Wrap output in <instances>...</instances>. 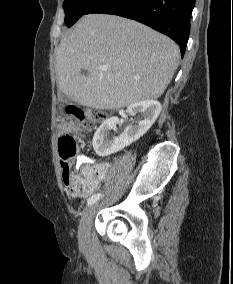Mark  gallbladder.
Masks as SVG:
<instances>
[{
  "label": "gallbladder",
  "mask_w": 233,
  "mask_h": 284,
  "mask_svg": "<svg viewBox=\"0 0 233 284\" xmlns=\"http://www.w3.org/2000/svg\"><path fill=\"white\" fill-rule=\"evenodd\" d=\"M64 101H65V102H70L71 99H70L69 97H65V98H64Z\"/></svg>",
  "instance_id": "bac80fb5"
}]
</instances>
